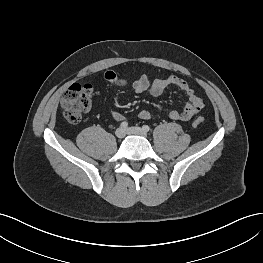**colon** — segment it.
Instances as JSON below:
<instances>
[{
    "label": "colon",
    "mask_w": 263,
    "mask_h": 263,
    "mask_svg": "<svg viewBox=\"0 0 263 263\" xmlns=\"http://www.w3.org/2000/svg\"><path fill=\"white\" fill-rule=\"evenodd\" d=\"M92 90L88 84H75L69 87L61 100V108L65 119L69 123H79L83 115L89 110L91 105ZM203 123L202 119L194 121L195 127Z\"/></svg>",
    "instance_id": "obj_1"
}]
</instances>
